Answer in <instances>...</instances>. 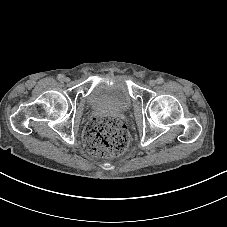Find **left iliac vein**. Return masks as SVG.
Listing matches in <instances>:
<instances>
[{"label": "left iliac vein", "instance_id": "obj_1", "mask_svg": "<svg viewBox=\"0 0 227 227\" xmlns=\"http://www.w3.org/2000/svg\"><path fill=\"white\" fill-rule=\"evenodd\" d=\"M156 84H157V81L154 79L149 81L150 86H155Z\"/></svg>", "mask_w": 227, "mask_h": 227}]
</instances>
